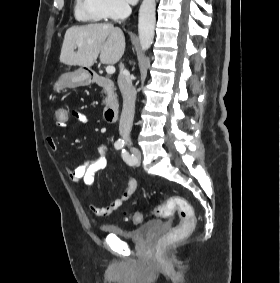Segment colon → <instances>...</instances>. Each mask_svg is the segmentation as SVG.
<instances>
[{
    "label": "colon",
    "mask_w": 280,
    "mask_h": 283,
    "mask_svg": "<svg viewBox=\"0 0 280 283\" xmlns=\"http://www.w3.org/2000/svg\"><path fill=\"white\" fill-rule=\"evenodd\" d=\"M55 122H67L68 119H72V114H69L67 107L58 105L54 111ZM177 211L180 217V222L177 227L169 231L166 235L168 239L176 240L187 237L195 228L196 216L191 204L181 197H171L167 202L161 206L154 208L151 212L152 215L157 217L166 218ZM127 218L134 224L141 223L144 214L142 212H134L127 215Z\"/></svg>",
    "instance_id": "colon-1"
}]
</instances>
